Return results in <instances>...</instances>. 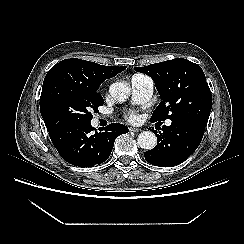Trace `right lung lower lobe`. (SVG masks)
I'll use <instances>...</instances> for the list:
<instances>
[{
    "label": "right lung lower lobe",
    "mask_w": 244,
    "mask_h": 244,
    "mask_svg": "<svg viewBox=\"0 0 244 244\" xmlns=\"http://www.w3.org/2000/svg\"><path fill=\"white\" fill-rule=\"evenodd\" d=\"M128 132V128L112 123L102 132L95 131L90 123H77L49 131V136L61 157L78 167H93L106 161L115 139Z\"/></svg>",
    "instance_id": "1"
}]
</instances>
